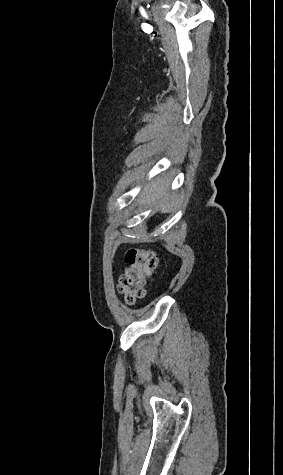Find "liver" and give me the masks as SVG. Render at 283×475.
<instances>
[{"label":"liver","mask_w":283,"mask_h":475,"mask_svg":"<svg viewBox=\"0 0 283 475\" xmlns=\"http://www.w3.org/2000/svg\"><path fill=\"white\" fill-rule=\"evenodd\" d=\"M169 184L164 180H156V182H149V186H146L144 192H141L140 204L142 206H155L157 204V212L161 214H167L171 212L175 206V198L167 194Z\"/></svg>","instance_id":"1"}]
</instances>
